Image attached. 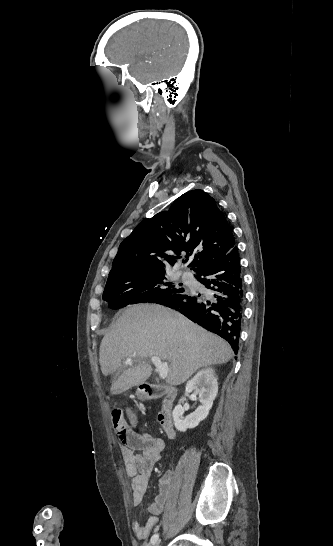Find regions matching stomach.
Returning <instances> with one entry per match:
<instances>
[{
  "label": "stomach",
  "instance_id": "obj_1",
  "mask_svg": "<svg viewBox=\"0 0 333 546\" xmlns=\"http://www.w3.org/2000/svg\"><path fill=\"white\" fill-rule=\"evenodd\" d=\"M136 396L141 400L145 398V394L139 389L136 391Z\"/></svg>",
  "mask_w": 333,
  "mask_h": 546
}]
</instances>
